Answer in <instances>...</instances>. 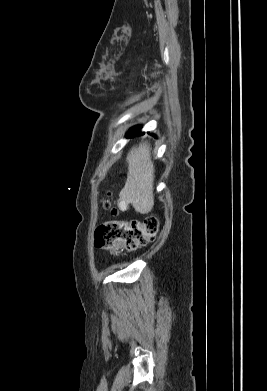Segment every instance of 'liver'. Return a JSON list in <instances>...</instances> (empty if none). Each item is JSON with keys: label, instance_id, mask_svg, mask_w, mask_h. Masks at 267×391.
I'll return each instance as SVG.
<instances>
[{"label": "liver", "instance_id": "obj_1", "mask_svg": "<svg viewBox=\"0 0 267 391\" xmlns=\"http://www.w3.org/2000/svg\"><path fill=\"white\" fill-rule=\"evenodd\" d=\"M127 180L121 190L120 204H131L140 214L151 212L154 206V165L148 142L134 146L127 154Z\"/></svg>", "mask_w": 267, "mask_h": 391}]
</instances>
